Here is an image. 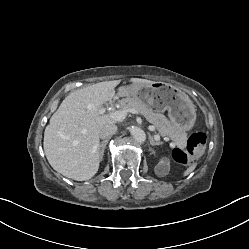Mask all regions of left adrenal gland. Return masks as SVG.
Listing matches in <instances>:
<instances>
[{
  "instance_id": "a2214340",
  "label": "left adrenal gland",
  "mask_w": 249,
  "mask_h": 249,
  "mask_svg": "<svg viewBox=\"0 0 249 249\" xmlns=\"http://www.w3.org/2000/svg\"><path fill=\"white\" fill-rule=\"evenodd\" d=\"M150 144L152 145V146H156V145H161L162 144V142H157V141H155L154 140V138L152 137V136H150ZM152 153H154V151L152 150Z\"/></svg>"
}]
</instances>
